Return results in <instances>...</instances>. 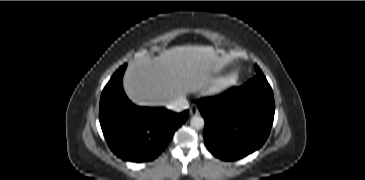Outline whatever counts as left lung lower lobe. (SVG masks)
Listing matches in <instances>:
<instances>
[{"mask_svg":"<svg viewBox=\"0 0 365 180\" xmlns=\"http://www.w3.org/2000/svg\"><path fill=\"white\" fill-rule=\"evenodd\" d=\"M197 105L205 119V144L218 158H243L259 149L269 136L275 103L263 74L223 95L201 99Z\"/></svg>","mask_w":365,"mask_h":180,"instance_id":"0a47b994","label":"left lung lower lobe"}]
</instances>
